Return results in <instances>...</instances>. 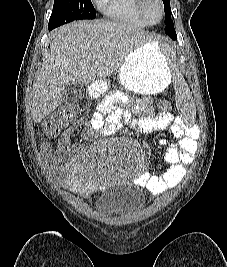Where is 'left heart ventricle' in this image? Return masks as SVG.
Instances as JSON below:
<instances>
[{
    "mask_svg": "<svg viewBox=\"0 0 227 267\" xmlns=\"http://www.w3.org/2000/svg\"><path fill=\"white\" fill-rule=\"evenodd\" d=\"M146 10L150 20L157 21L159 19L160 8L156 0H148Z\"/></svg>",
    "mask_w": 227,
    "mask_h": 267,
    "instance_id": "1",
    "label": "left heart ventricle"
}]
</instances>
